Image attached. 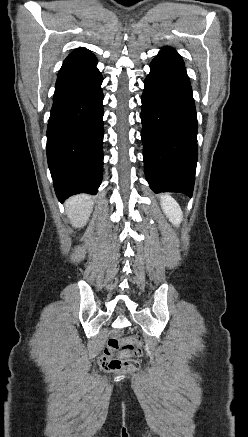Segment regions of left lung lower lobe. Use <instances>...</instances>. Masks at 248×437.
Segmentation results:
<instances>
[{
  "label": "left lung lower lobe",
  "mask_w": 248,
  "mask_h": 437,
  "mask_svg": "<svg viewBox=\"0 0 248 437\" xmlns=\"http://www.w3.org/2000/svg\"><path fill=\"white\" fill-rule=\"evenodd\" d=\"M142 142L146 179L155 193L192 196L197 147V116L184 64L153 59L144 81Z\"/></svg>",
  "instance_id": "0a47b994"
}]
</instances>
